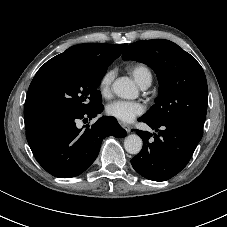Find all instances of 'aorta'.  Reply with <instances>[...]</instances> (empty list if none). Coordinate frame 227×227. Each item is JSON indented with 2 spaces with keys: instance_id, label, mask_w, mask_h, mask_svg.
Returning <instances> with one entry per match:
<instances>
[{
  "instance_id": "1",
  "label": "aorta",
  "mask_w": 227,
  "mask_h": 227,
  "mask_svg": "<svg viewBox=\"0 0 227 227\" xmlns=\"http://www.w3.org/2000/svg\"><path fill=\"white\" fill-rule=\"evenodd\" d=\"M113 92L120 98L134 99L138 95L135 85L124 78L117 79L112 85ZM142 139L136 135H128L124 140V148L129 154H138L142 149Z\"/></svg>"
}]
</instances>
